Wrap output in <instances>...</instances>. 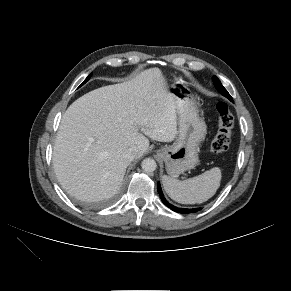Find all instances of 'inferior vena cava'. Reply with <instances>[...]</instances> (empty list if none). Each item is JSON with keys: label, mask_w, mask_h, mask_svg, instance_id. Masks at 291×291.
Masks as SVG:
<instances>
[{"label": "inferior vena cava", "mask_w": 291, "mask_h": 291, "mask_svg": "<svg viewBox=\"0 0 291 291\" xmlns=\"http://www.w3.org/2000/svg\"><path fill=\"white\" fill-rule=\"evenodd\" d=\"M136 151V147L129 148L124 154L125 159H127L128 161L134 160Z\"/></svg>", "instance_id": "obj_1"}]
</instances>
